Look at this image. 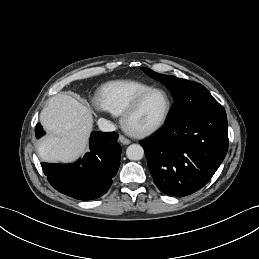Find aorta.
Masks as SVG:
<instances>
[{
	"mask_svg": "<svg viewBox=\"0 0 259 259\" xmlns=\"http://www.w3.org/2000/svg\"><path fill=\"white\" fill-rule=\"evenodd\" d=\"M126 156L130 160H141L144 156V149L139 144H131L126 150Z\"/></svg>",
	"mask_w": 259,
	"mask_h": 259,
	"instance_id": "762f6f07",
	"label": "aorta"
}]
</instances>
